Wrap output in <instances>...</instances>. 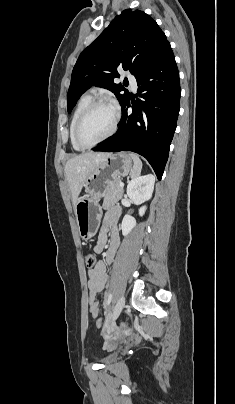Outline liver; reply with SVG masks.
<instances>
[{
    "label": "liver",
    "mask_w": 235,
    "mask_h": 404,
    "mask_svg": "<svg viewBox=\"0 0 235 404\" xmlns=\"http://www.w3.org/2000/svg\"><path fill=\"white\" fill-rule=\"evenodd\" d=\"M109 153L86 152L69 159L65 166L66 180L72 196V203L78 201L82 187L93 170Z\"/></svg>",
    "instance_id": "obj_1"
}]
</instances>
